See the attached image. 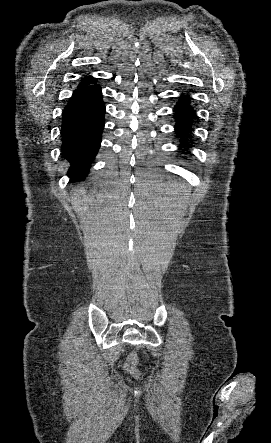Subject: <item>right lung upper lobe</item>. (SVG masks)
<instances>
[{
    "instance_id": "cb5924a9",
    "label": "right lung upper lobe",
    "mask_w": 271,
    "mask_h": 443,
    "mask_svg": "<svg viewBox=\"0 0 271 443\" xmlns=\"http://www.w3.org/2000/svg\"><path fill=\"white\" fill-rule=\"evenodd\" d=\"M93 79L92 77H86L84 80H90Z\"/></svg>"
}]
</instances>
